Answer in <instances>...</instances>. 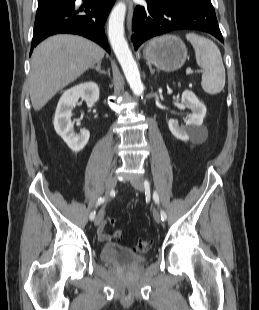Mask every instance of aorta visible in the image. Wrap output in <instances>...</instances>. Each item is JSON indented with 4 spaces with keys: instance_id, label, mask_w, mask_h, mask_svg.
I'll return each mask as SVG.
<instances>
[{
    "instance_id": "aorta-1",
    "label": "aorta",
    "mask_w": 259,
    "mask_h": 310,
    "mask_svg": "<svg viewBox=\"0 0 259 310\" xmlns=\"http://www.w3.org/2000/svg\"><path fill=\"white\" fill-rule=\"evenodd\" d=\"M125 14V3L120 2L115 5L109 17L108 37L133 93L141 95L144 91V86L140 79L137 64L124 38Z\"/></svg>"
}]
</instances>
